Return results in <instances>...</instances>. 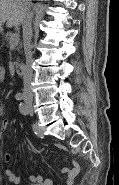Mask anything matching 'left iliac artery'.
Listing matches in <instances>:
<instances>
[{
    "mask_svg": "<svg viewBox=\"0 0 119 185\" xmlns=\"http://www.w3.org/2000/svg\"><path fill=\"white\" fill-rule=\"evenodd\" d=\"M19 110H20V112L22 113V114H27V107H26V105L24 104V103H20L19 104Z\"/></svg>",
    "mask_w": 119,
    "mask_h": 185,
    "instance_id": "44dca946",
    "label": "left iliac artery"
}]
</instances>
